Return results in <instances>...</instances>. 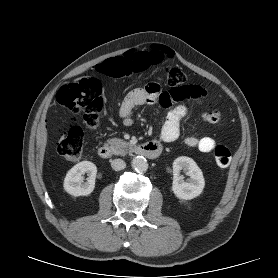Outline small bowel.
I'll return each mask as SVG.
<instances>
[{"mask_svg":"<svg viewBox=\"0 0 278 278\" xmlns=\"http://www.w3.org/2000/svg\"><path fill=\"white\" fill-rule=\"evenodd\" d=\"M178 100L180 99H176L173 92H164L158 83L151 82L146 87L136 88L127 94L120 106L119 116L124 125L130 126L133 123L131 113L135 107L157 101L169 106ZM187 113L188 109L185 105H178L168 112L160 133L161 141L173 142L179 137L181 122ZM201 118L208 123H217L221 118V114L217 109H213L203 112ZM184 142L187 146L197 148L205 153L211 152L217 144L213 138L208 136H188Z\"/></svg>","mask_w":278,"mask_h":278,"instance_id":"small-bowel-1","label":"small bowel"}]
</instances>
